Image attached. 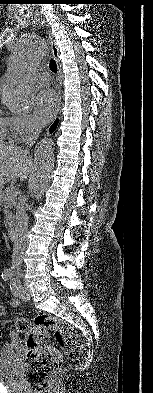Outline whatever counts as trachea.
Listing matches in <instances>:
<instances>
[{"mask_svg": "<svg viewBox=\"0 0 153 393\" xmlns=\"http://www.w3.org/2000/svg\"><path fill=\"white\" fill-rule=\"evenodd\" d=\"M49 68L52 72L56 73L57 72V64L55 60H51L49 64Z\"/></svg>", "mask_w": 153, "mask_h": 393, "instance_id": "trachea-1", "label": "trachea"}]
</instances>
